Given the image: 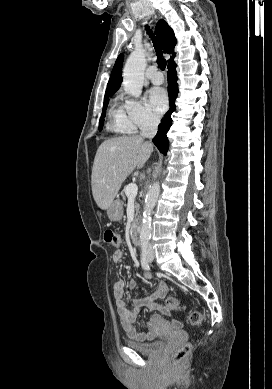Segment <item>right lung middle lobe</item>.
<instances>
[{"mask_svg": "<svg viewBox=\"0 0 272 389\" xmlns=\"http://www.w3.org/2000/svg\"><path fill=\"white\" fill-rule=\"evenodd\" d=\"M109 96L110 95H107L104 97L103 111H102V115H101L100 122H99V130H101L103 125H104V117H105L106 108L108 106Z\"/></svg>", "mask_w": 272, "mask_h": 389, "instance_id": "obj_1", "label": "right lung middle lobe"}]
</instances>
